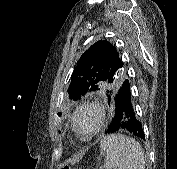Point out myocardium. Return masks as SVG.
I'll return each mask as SVG.
<instances>
[{"mask_svg":"<svg viewBox=\"0 0 177 169\" xmlns=\"http://www.w3.org/2000/svg\"><path fill=\"white\" fill-rule=\"evenodd\" d=\"M83 111H90L94 114L95 116V120H96V124L94 129L92 130V132H90L89 134H84L78 127L77 125V119L79 117V115L83 112ZM104 120H105V113L103 108L95 103V102H91V101H85L83 103H81L74 111L73 116H72V127L73 130L75 131V133L83 140H89L91 138H93L95 135H97L99 133V131L101 130V128L103 127L104 124Z\"/></svg>","mask_w":177,"mask_h":169,"instance_id":"f54148a6","label":"myocardium"}]
</instances>
